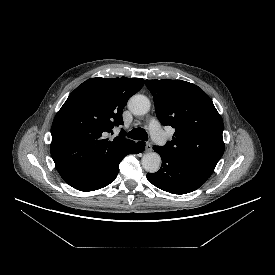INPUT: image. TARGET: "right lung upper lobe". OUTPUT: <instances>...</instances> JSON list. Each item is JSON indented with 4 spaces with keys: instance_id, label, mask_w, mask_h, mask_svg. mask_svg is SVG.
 Masks as SVG:
<instances>
[{
    "instance_id": "1",
    "label": "right lung upper lobe",
    "mask_w": 275,
    "mask_h": 275,
    "mask_svg": "<svg viewBox=\"0 0 275 275\" xmlns=\"http://www.w3.org/2000/svg\"><path fill=\"white\" fill-rule=\"evenodd\" d=\"M144 85L141 78H91L79 85L56 114L51 127V155L65 182L106 169L135 142L120 133L128 99ZM122 132V131H121Z\"/></svg>"
}]
</instances>
